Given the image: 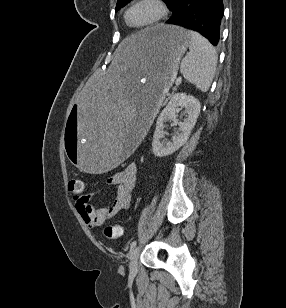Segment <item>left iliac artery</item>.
I'll return each mask as SVG.
<instances>
[{
	"label": "left iliac artery",
	"instance_id": "obj_1",
	"mask_svg": "<svg viewBox=\"0 0 286 308\" xmlns=\"http://www.w3.org/2000/svg\"><path fill=\"white\" fill-rule=\"evenodd\" d=\"M136 244H137V241L134 240V241L131 243L130 248L133 249V248L136 246Z\"/></svg>",
	"mask_w": 286,
	"mask_h": 308
}]
</instances>
